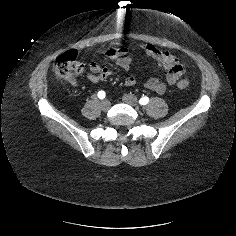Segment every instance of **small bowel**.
I'll return each mask as SVG.
<instances>
[{
	"label": "small bowel",
	"instance_id": "small-bowel-1",
	"mask_svg": "<svg viewBox=\"0 0 236 236\" xmlns=\"http://www.w3.org/2000/svg\"><path fill=\"white\" fill-rule=\"evenodd\" d=\"M140 50L149 58L157 61L158 65L166 71L165 81L157 77L140 82L145 88L162 94L166 90V85H174L185 73L186 68L170 51L163 50L153 44L146 43L140 46ZM104 55L113 60L122 70L130 71L133 66L134 58L128 54L126 47H110L103 51ZM113 74L110 68L102 67L97 62L89 63L87 79L98 84L106 81ZM139 81L135 77H128L125 81L127 86H134Z\"/></svg>",
	"mask_w": 236,
	"mask_h": 236
}]
</instances>
